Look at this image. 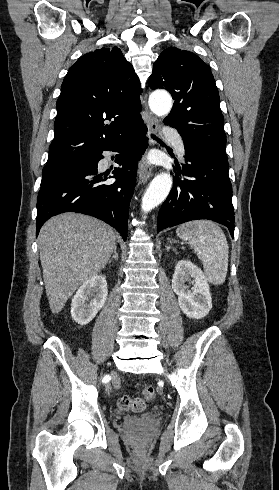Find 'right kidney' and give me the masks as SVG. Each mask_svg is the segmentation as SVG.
I'll list each match as a JSON object with an SVG mask.
<instances>
[{"mask_svg": "<svg viewBox=\"0 0 279 490\" xmlns=\"http://www.w3.org/2000/svg\"><path fill=\"white\" fill-rule=\"evenodd\" d=\"M107 282L105 276L102 274H96L88 278L79 290H77L75 296L71 302V318L80 326H86L89 324L99 310L103 308L107 300ZM93 298L90 304H86V300Z\"/></svg>", "mask_w": 279, "mask_h": 490, "instance_id": "obj_1", "label": "right kidney"}]
</instances>
